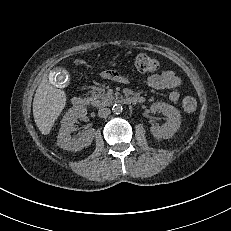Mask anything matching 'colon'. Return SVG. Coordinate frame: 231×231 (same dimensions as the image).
I'll use <instances>...</instances> for the list:
<instances>
[{"label": "colon", "mask_w": 231, "mask_h": 231, "mask_svg": "<svg viewBox=\"0 0 231 231\" xmlns=\"http://www.w3.org/2000/svg\"><path fill=\"white\" fill-rule=\"evenodd\" d=\"M133 65L138 72L145 74L154 73L159 68V62L155 58L144 53L137 54L133 58ZM182 108L187 113L194 112L197 108L196 99L192 96H186L182 101Z\"/></svg>", "instance_id": "5ec220e1"}]
</instances>
